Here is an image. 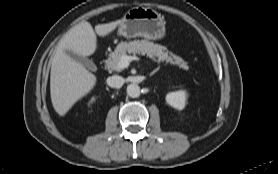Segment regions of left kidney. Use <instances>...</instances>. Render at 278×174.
<instances>
[{
  "mask_svg": "<svg viewBox=\"0 0 278 174\" xmlns=\"http://www.w3.org/2000/svg\"><path fill=\"white\" fill-rule=\"evenodd\" d=\"M186 97L185 91L170 92L166 95V102L170 106L182 110L185 107Z\"/></svg>",
  "mask_w": 278,
  "mask_h": 174,
  "instance_id": "obj_1",
  "label": "left kidney"
}]
</instances>
